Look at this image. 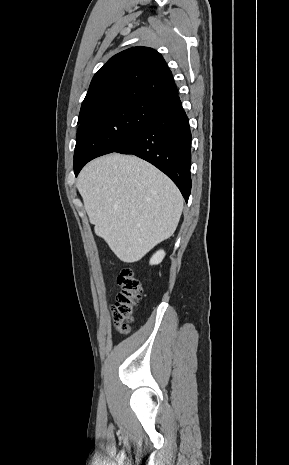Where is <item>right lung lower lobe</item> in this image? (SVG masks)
Returning a JSON list of instances; mask_svg holds the SVG:
<instances>
[{"instance_id": "1", "label": "right lung lower lobe", "mask_w": 289, "mask_h": 465, "mask_svg": "<svg viewBox=\"0 0 289 465\" xmlns=\"http://www.w3.org/2000/svg\"><path fill=\"white\" fill-rule=\"evenodd\" d=\"M114 152L133 154L150 162L172 179L188 201L191 192V132L178 95L163 102L159 112ZM90 160L74 166L76 176Z\"/></svg>"}]
</instances>
